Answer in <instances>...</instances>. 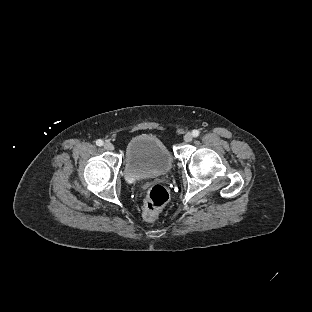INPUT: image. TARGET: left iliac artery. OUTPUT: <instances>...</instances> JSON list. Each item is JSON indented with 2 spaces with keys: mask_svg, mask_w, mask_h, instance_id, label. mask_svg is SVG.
Listing matches in <instances>:
<instances>
[{
  "mask_svg": "<svg viewBox=\"0 0 312 312\" xmlns=\"http://www.w3.org/2000/svg\"><path fill=\"white\" fill-rule=\"evenodd\" d=\"M192 135H193L194 137L199 136V131H198V130H193V131H192Z\"/></svg>",
  "mask_w": 312,
  "mask_h": 312,
  "instance_id": "left-iliac-artery-1",
  "label": "left iliac artery"
}]
</instances>
